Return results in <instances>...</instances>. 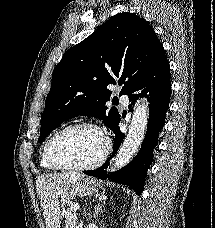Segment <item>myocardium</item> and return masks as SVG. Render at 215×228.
Wrapping results in <instances>:
<instances>
[{
  "label": "myocardium",
  "instance_id": "f54148a6",
  "mask_svg": "<svg viewBox=\"0 0 215 228\" xmlns=\"http://www.w3.org/2000/svg\"><path fill=\"white\" fill-rule=\"evenodd\" d=\"M77 128L93 129V130L97 131L98 133H100L102 135V137L104 138V149H103L102 153L93 162L85 164V165L68 166V165H61V164L56 163L52 157V148H53L55 142L64 133H66L70 130H73V129H77ZM110 149H111V144H110L109 138L104 133L102 128L94 123L82 121V122L71 123V124L61 128L60 130H58L56 133H54L49 138V140L45 146L44 157H45V161H46L47 165L54 170L84 172V171H89V170L95 169V168L99 167L100 165H102L104 163V161L106 160V158L110 152Z\"/></svg>",
  "mask_w": 215,
  "mask_h": 228
}]
</instances>
